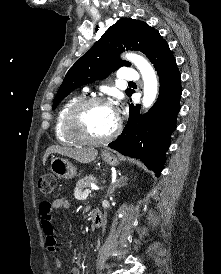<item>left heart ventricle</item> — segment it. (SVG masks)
<instances>
[{"label": "left heart ventricle", "mask_w": 221, "mask_h": 274, "mask_svg": "<svg viewBox=\"0 0 221 274\" xmlns=\"http://www.w3.org/2000/svg\"><path fill=\"white\" fill-rule=\"evenodd\" d=\"M116 118L111 106L96 105L88 109L84 114L83 128L92 137H103L111 132Z\"/></svg>", "instance_id": "b2bd125f"}]
</instances>
